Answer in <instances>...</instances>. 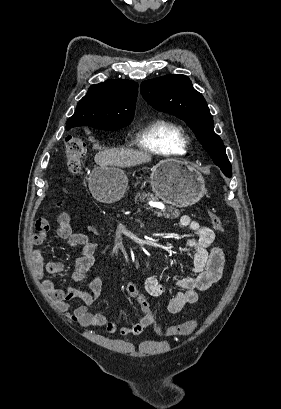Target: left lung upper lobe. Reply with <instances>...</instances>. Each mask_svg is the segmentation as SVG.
Here are the masks:
<instances>
[{
    "label": "left lung upper lobe",
    "instance_id": "1",
    "mask_svg": "<svg viewBox=\"0 0 281 409\" xmlns=\"http://www.w3.org/2000/svg\"><path fill=\"white\" fill-rule=\"evenodd\" d=\"M144 99L155 109L177 116L193 130L214 163L227 176L231 164L220 137L214 132L213 118L201 93L185 75H166L141 83Z\"/></svg>",
    "mask_w": 281,
    "mask_h": 409
}]
</instances>
